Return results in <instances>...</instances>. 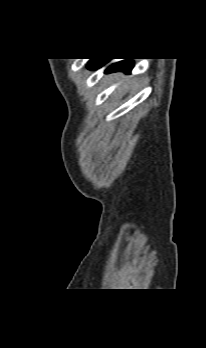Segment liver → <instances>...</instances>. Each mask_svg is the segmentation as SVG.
<instances>
[{
    "mask_svg": "<svg viewBox=\"0 0 206 348\" xmlns=\"http://www.w3.org/2000/svg\"><path fill=\"white\" fill-rule=\"evenodd\" d=\"M129 83H130V81H127L126 83H123V84L121 85L120 89H122V88H127Z\"/></svg>",
    "mask_w": 206,
    "mask_h": 348,
    "instance_id": "1",
    "label": "liver"
}]
</instances>
